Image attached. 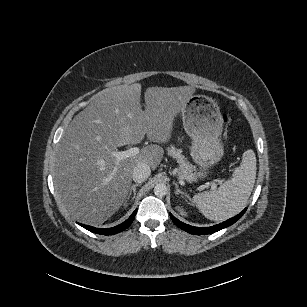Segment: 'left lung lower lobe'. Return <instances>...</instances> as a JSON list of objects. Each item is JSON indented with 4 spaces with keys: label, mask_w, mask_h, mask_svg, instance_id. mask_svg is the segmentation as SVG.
<instances>
[{
    "label": "left lung lower lobe",
    "mask_w": 307,
    "mask_h": 307,
    "mask_svg": "<svg viewBox=\"0 0 307 307\" xmlns=\"http://www.w3.org/2000/svg\"><path fill=\"white\" fill-rule=\"evenodd\" d=\"M247 208H245L240 214H238L237 216L228 219L227 221L217 224L215 226H211V227H205V228H201V227H194V226H190L187 225L185 223L180 222L179 220H177L172 214H170V217L172 219V221L181 229H183L186 232H189L191 234H196V235H204V234H211L214 232H217L225 227H228L230 225H232L233 223H235L246 211Z\"/></svg>",
    "instance_id": "left-lung-lower-lobe-1"
}]
</instances>
